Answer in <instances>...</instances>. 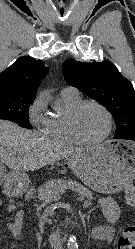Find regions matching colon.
<instances>
[{"label":"colon","mask_w":135,"mask_h":249,"mask_svg":"<svg viewBox=\"0 0 135 249\" xmlns=\"http://www.w3.org/2000/svg\"><path fill=\"white\" fill-rule=\"evenodd\" d=\"M127 204L135 209V185H131L125 191ZM117 249H135V225L124 228L117 242Z\"/></svg>","instance_id":"obj_1"}]
</instances>
